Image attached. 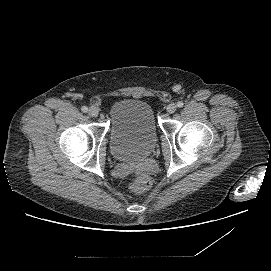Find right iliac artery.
Returning a JSON list of instances; mask_svg holds the SVG:
<instances>
[{"label": "right iliac artery", "instance_id": "right-iliac-artery-1", "mask_svg": "<svg viewBox=\"0 0 271 271\" xmlns=\"http://www.w3.org/2000/svg\"><path fill=\"white\" fill-rule=\"evenodd\" d=\"M81 110H82V112H87L88 111V107H86V106H83L82 108H81Z\"/></svg>", "mask_w": 271, "mask_h": 271}]
</instances>
